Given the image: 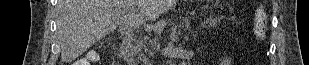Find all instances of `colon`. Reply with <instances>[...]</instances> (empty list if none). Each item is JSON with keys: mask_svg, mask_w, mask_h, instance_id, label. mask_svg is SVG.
<instances>
[{"mask_svg": "<svg viewBox=\"0 0 309 65\" xmlns=\"http://www.w3.org/2000/svg\"><path fill=\"white\" fill-rule=\"evenodd\" d=\"M254 36L258 41H264L267 35V15L263 8H258L254 18ZM93 55V52H88L87 57ZM83 60L77 61L75 65H88L82 63Z\"/></svg>", "mask_w": 309, "mask_h": 65, "instance_id": "obj_1", "label": "colon"}]
</instances>
